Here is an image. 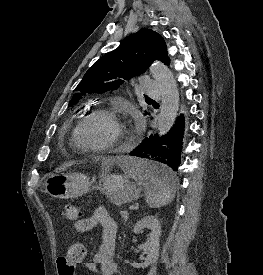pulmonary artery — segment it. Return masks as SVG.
<instances>
[{
    "mask_svg": "<svg viewBox=\"0 0 263 275\" xmlns=\"http://www.w3.org/2000/svg\"><path fill=\"white\" fill-rule=\"evenodd\" d=\"M144 92L153 97H158L160 95V87L158 83L153 80H145L142 84Z\"/></svg>",
    "mask_w": 263,
    "mask_h": 275,
    "instance_id": "1",
    "label": "pulmonary artery"
}]
</instances>
